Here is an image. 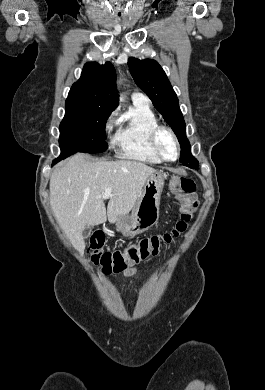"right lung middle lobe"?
<instances>
[{
	"label": "right lung middle lobe",
	"mask_w": 265,
	"mask_h": 390,
	"mask_svg": "<svg viewBox=\"0 0 265 390\" xmlns=\"http://www.w3.org/2000/svg\"><path fill=\"white\" fill-rule=\"evenodd\" d=\"M111 112L94 106L65 105V116L59 127V158L63 159L77 152L105 151V126Z\"/></svg>",
	"instance_id": "1"
}]
</instances>
